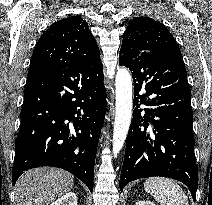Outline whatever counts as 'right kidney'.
<instances>
[{"label": "right kidney", "mask_w": 212, "mask_h": 205, "mask_svg": "<svg viewBox=\"0 0 212 205\" xmlns=\"http://www.w3.org/2000/svg\"><path fill=\"white\" fill-rule=\"evenodd\" d=\"M50 205H78L77 196L74 192H68Z\"/></svg>", "instance_id": "1"}]
</instances>
